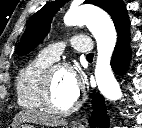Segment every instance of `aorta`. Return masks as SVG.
<instances>
[{"label":"aorta","mask_w":142,"mask_h":128,"mask_svg":"<svg viewBox=\"0 0 142 128\" xmlns=\"http://www.w3.org/2000/svg\"><path fill=\"white\" fill-rule=\"evenodd\" d=\"M68 26L86 25L97 43L95 78L101 94L112 101L122 98L119 83L111 69L110 61L117 41V33L111 18L101 10L80 6L69 9L64 16Z\"/></svg>","instance_id":"obj_1"}]
</instances>
